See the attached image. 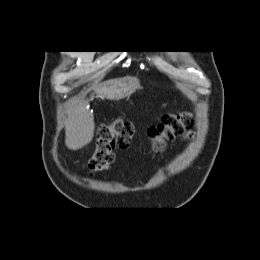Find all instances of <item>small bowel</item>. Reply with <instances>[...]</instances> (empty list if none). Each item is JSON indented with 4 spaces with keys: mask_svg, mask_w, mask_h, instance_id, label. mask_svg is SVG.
I'll return each mask as SVG.
<instances>
[{
    "mask_svg": "<svg viewBox=\"0 0 260 260\" xmlns=\"http://www.w3.org/2000/svg\"><path fill=\"white\" fill-rule=\"evenodd\" d=\"M193 136H194V133H193V132H188V133H186V135L184 136V139H185V140H190V139L193 138Z\"/></svg>",
    "mask_w": 260,
    "mask_h": 260,
    "instance_id": "c3829d8e",
    "label": "small bowel"
}]
</instances>
